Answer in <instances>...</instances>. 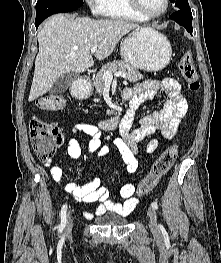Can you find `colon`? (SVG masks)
I'll list each match as a JSON object with an SVG mask.
<instances>
[{"mask_svg": "<svg viewBox=\"0 0 221 263\" xmlns=\"http://www.w3.org/2000/svg\"><path fill=\"white\" fill-rule=\"evenodd\" d=\"M178 67L190 91L197 92L200 88L198 73L190 52H184L178 61ZM39 109L47 111H61L67 106V101L62 95L49 94L36 100ZM30 139L36 156L43 161H49L53 156L56 146L62 140L60 129L50 122L34 117L30 122ZM178 151L175 146L165 149L155 160L148 174L139 182L136 193L138 196L148 194L174 164Z\"/></svg>", "mask_w": 221, "mask_h": 263, "instance_id": "obj_1", "label": "colon"}]
</instances>
